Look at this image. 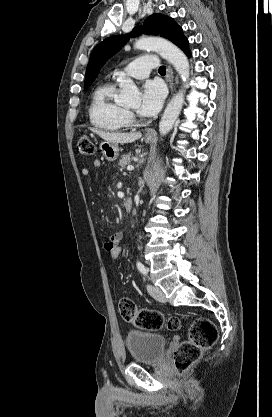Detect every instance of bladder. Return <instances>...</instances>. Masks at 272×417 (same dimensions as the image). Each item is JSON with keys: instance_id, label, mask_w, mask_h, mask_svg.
I'll return each mask as SVG.
<instances>
[{"instance_id": "obj_1", "label": "bladder", "mask_w": 272, "mask_h": 417, "mask_svg": "<svg viewBox=\"0 0 272 417\" xmlns=\"http://www.w3.org/2000/svg\"><path fill=\"white\" fill-rule=\"evenodd\" d=\"M125 344L134 362L155 364L164 356L167 338L158 333L132 330L127 333Z\"/></svg>"}]
</instances>
